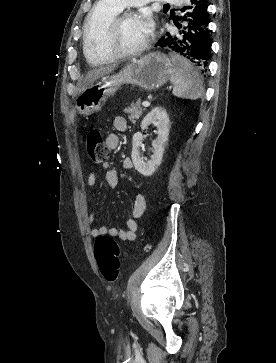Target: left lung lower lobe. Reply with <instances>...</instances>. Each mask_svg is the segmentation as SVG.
<instances>
[{
    "label": "left lung lower lobe",
    "mask_w": 276,
    "mask_h": 363,
    "mask_svg": "<svg viewBox=\"0 0 276 363\" xmlns=\"http://www.w3.org/2000/svg\"><path fill=\"white\" fill-rule=\"evenodd\" d=\"M207 8V0H187V6L181 11H188L173 18L175 26L159 39L155 47L166 48L206 72L205 60L209 59L211 45Z\"/></svg>",
    "instance_id": "obj_1"
}]
</instances>
